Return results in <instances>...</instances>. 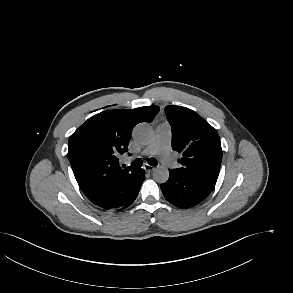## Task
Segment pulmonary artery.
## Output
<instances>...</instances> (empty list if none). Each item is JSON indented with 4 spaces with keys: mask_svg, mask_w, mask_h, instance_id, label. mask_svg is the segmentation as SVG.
Returning a JSON list of instances; mask_svg holds the SVG:
<instances>
[{
    "mask_svg": "<svg viewBox=\"0 0 293 293\" xmlns=\"http://www.w3.org/2000/svg\"><path fill=\"white\" fill-rule=\"evenodd\" d=\"M171 137L172 131L168 123L158 125L153 140L141 155H157L163 163L172 165L174 159L170 153Z\"/></svg>",
    "mask_w": 293,
    "mask_h": 293,
    "instance_id": "obj_1",
    "label": "pulmonary artery"
}]
</instances>
